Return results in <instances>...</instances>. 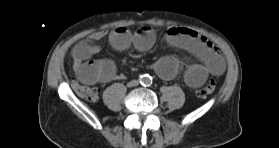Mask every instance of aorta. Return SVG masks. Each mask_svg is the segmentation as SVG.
I'll return each mask as SVG.
<instances>
[{"mask_svg": "<svg viewBox=\"0 0 279 148\" xmlns=\"http://www.w3.org/2000/svg\"><path fill=\"white\" fill-rule=\"evenodd\" d=\"M142 82H143L144 84H148V83L150 82V79H149L148 77H144V78L142 79Z\"/></svg>", "mask_w": 279, "mask_h": 148, "instance_id": "1", "label": "aorta"}]
</instances>
